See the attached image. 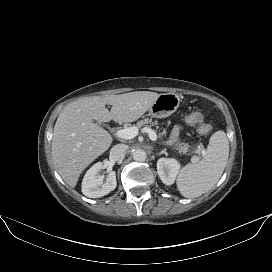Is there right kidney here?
<instances>
[{
    "mask_svg": "<svg viewBox=\"0 0 272 272\" xmlns=\"http://www.w3.org/2000/svg\"><path fill=\"white\" fill-rule=\"evenodd\" d=\"M104 167L102 162L94 164L85 174L82 181V193L89 198H99L109 194L117 186L116 173L110 172L104 181L100 171Z\"/></svg>",
    "mask_w": 272,
    "mask_h": 272,
    "instance_id": "right-kidney-1",
    "label": "right kidney"
}]
</instances>
